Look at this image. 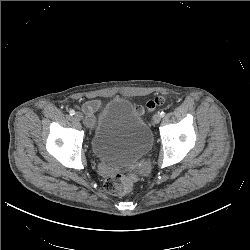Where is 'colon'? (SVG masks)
Wrapping results in <instances>:
<instances>
[{"mask_svg":"<svg viewBox=\"0 0 250 250\" xmlns=\"http://www.w3.org/2000/svg\"><path fill=\"white\" fill-rule=\"evenodd\" d=\"M162 103V98H155L146 103L142 111L155 110ZM137 182V176L132 172H122L108 177L105 181V189L114 195H125L129 193Z\"/></svg>","mask_w":250,"mask_h":250,"instance_id":"5ec220e1","label":"colon"}]
</instances>
